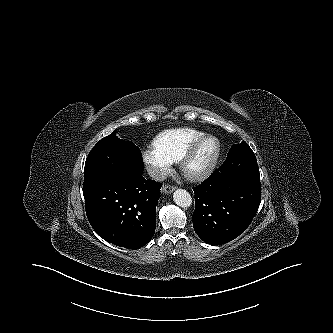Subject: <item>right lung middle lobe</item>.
Wrapping results in <instances>:
<instances>
[{
    "label": "right lung middle lobe",
    "instance_id": "dd1d6c3e",
    "mask_svg": "<svg viewBox=\"0 0 333 333\" xmlns=\"http://www.w3.org/2000/svg\"><path fill=\"white\" fill-rule=\"evenodd\" d=\"M116 131L102 138L89 152L84 168V186L113 177L142 173L140 149L130 141L118 138Z\"/></svg>",
    "mask_w": 333,
    "mask_h": 333
}]
</instances>
